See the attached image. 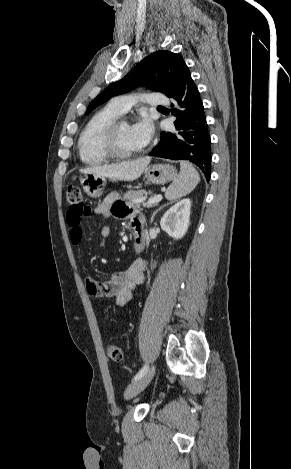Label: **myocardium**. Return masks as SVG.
<instances>
[{
  "instance_id": "f54148a6",
  "label": "myocardium",
  "mask_w": 291,
  "mask_h": 469,
  "mask_svg": "<svg viewBox=\"0 0 291 469\" xmlns=\"http://www.w3.org/2000/svg\"><path fill=\"white\" fill-rule=\"evenodd\" d=\"M128 123L122 117H118L110 122L103 132V146L110 158L127 159L139 155L143 152V148L135 151H123L118 146L117 132L121 124Z\"/></svg>"
}]
</instances>
